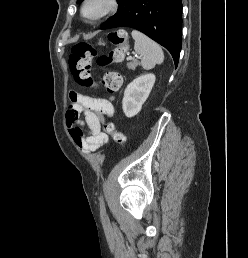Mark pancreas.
Here are the masks:
<instances>
[{
    "label": "pancreas",
    "mask_w": 248,
    "mask_h": 258,
    "mask_svg": "<svg viewBox=\"0 0 248 258\" xmlns=\"http://www.w3.org/2000/svg\"><path fill=\"white\" fill-rule=\"evenodd\" d=\"M138 65H139V62L137 60H134L132 62L127 63V68L129 70H135Z\"/></svg>",
    "instance_id": "obj_1"
}]
</instances>
